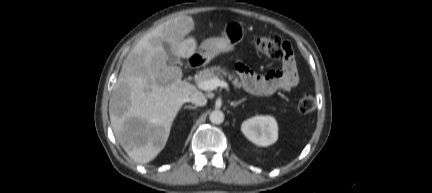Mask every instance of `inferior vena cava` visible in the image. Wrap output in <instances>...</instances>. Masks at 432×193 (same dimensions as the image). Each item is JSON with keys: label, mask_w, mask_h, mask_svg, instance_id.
<instances>
[{"label": "inferior vena cava", "mask_w": 432, "mask_h": 193, "mask_svg": "<svg viewBox=\"0 0 432 193\" xmlns=\"http://www.w3.org/2000/svg\"><path fill=\"white\" fill-rule=\"evenodd\" d=\"M189 100L196 106H204L207 103L205 95L200 91L193 92Z\"/></svg>", "instance_id": "inferior-vena-cava-1"}]
</instances>
